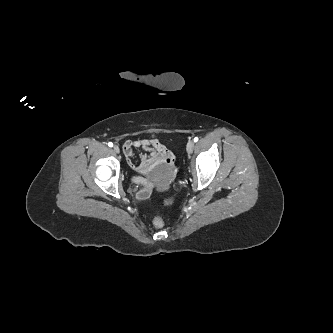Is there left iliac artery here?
<instances>
[{
    "label": "left iliac artery",
    "instance_id": "obj_1",
    "mask_svg": "<svg viewBox=\"0 0 333 333\" xmlns=\"http://www.w3.org/2000/svg\"><path fill=\"white\" fill-rule=\"evenodd\" d=\"M199 139H198V137H195L194 138V142H197Z\"/></svg>",
    "mask_w": 333,
    "mask_h": 333
}]
</instances>
